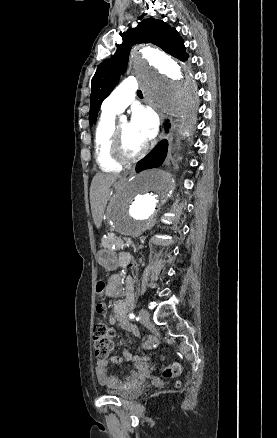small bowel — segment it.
<instances>
[{"label":"small bowel","mask_w":277,"mask_h":438,"mask_svg":"<svg viewBox=\"0 0 277 438\" xmlns=\"http://www.w3.org/2000/svg\"><path fill=\"white\" fill-rule=\"evenodd\" d=\"M127 259V257H126ZM124 294V299L115 303L113 306V314L109 315L107 322L109 325L118 323L123 329L132 332L134 335H139L136 327L126 321V315L133 309L135 303V285L132 280H128L124 288H122L119 278L117 276L111 277L107 281L105 295L108 298H115ZM128 361L135 363V370L123 379L109 374L108 362L106 359H99L97 361L95 372L100 384L110 388L120 390H130L137 386L143 379L146 370L144 361L147 357L132 355L125 351Z\"/></svg>","instance_id":"c3829d8e"}]
</instances>
